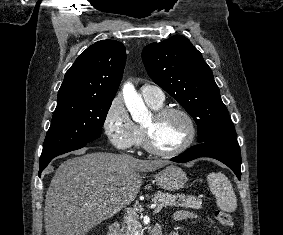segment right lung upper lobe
<instances>
[{
    "instance_id": "cb5924a9",
    "label": "right lung upper lobe",
    "mask_w": 283,
    "mask_h": 235,
    "mask_svg": "<svg viewBox=\"0 0 283 235\" xmlns=\"http://www.w3.org/2000/svg\"><path fill=\"white\" fill-rule=\"evenodd\" d=\"M125 61L126 50L121 42L102 40L91 45L66 72L58 102L73 98L113 100Z\"/></svg>"
}]
</instances>
